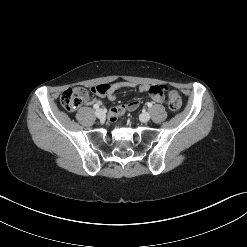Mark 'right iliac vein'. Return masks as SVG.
<instances>
[{
  "mask_svg": "<svg viewBox=\"0 0 247 247\" xmlns=\"http://www.w3.org/2000/svg\"><path fill=\"white\" fill-rule=\"evenodd\" d=\"M95 115L97 118L103 119L105 117V112L102 109H97Z\"/></svg>",
  "mask_w": 247,
  "mask_h": 247,
  "instance_id": "63e3f726",
  "label": "right iliac vein"
}]
</instances>
